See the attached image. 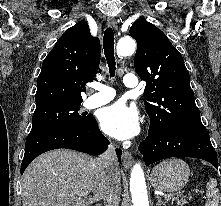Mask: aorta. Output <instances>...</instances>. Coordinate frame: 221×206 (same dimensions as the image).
I'll list each match as a JSON object with an SVG mask.
<instances>
[{"label": "aorta", "instance_id": "aorta-1", "mask_svg": "<svg viewBox=\"0 0 221 206\" xmlns=\"http://www.w3.org/2000/svg\"><path fill=\"white\" fill-rule=\"evenodd\" d=\"M136 42L127 36L118 41L117 54L119 57L130 56L134 53ZM130 191L132 194L133 206H149L145 176L140 163H136L131 171Z\"/></svg>", "mask_w": 221, "mask_h": 206}]
</instances>
